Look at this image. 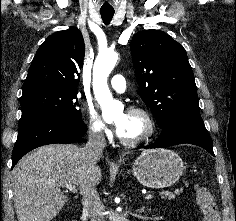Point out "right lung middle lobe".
Segmentation results:
<instances>
[{"label":"right lung middle lobe","mask_w":236,"mask_h":221,"mask_svg":"<svg viewBox=\"0 0 236 221\" xmlns=\"http://www.w3.org/2000/svg\"><path fill=\"white\" fill-rule=\"evenodd\" d=\"M77 93L71 91L37 90L22 94V118L39 114H51L81 120V111L77 101Z\"/></svg>","instance_id":"1"}]
</instances>
